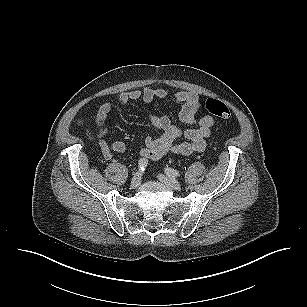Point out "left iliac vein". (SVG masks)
Segmentation results:
<instances>
[{
  "instance_id": "obj_1",
  "label": "left iliac vein",
  "mask_w": 307,
  "mask_h": 307,
  "mask_svg": "<svg viewBox=\"0 0 307 307\" xmlns=\"http://www.w3.org/2000/svg\"><path fill=\"white\" fill-rule=\"evenodd\" d=\"M158 179L172 190H181V184L175 179L168 178L163 174L158 175Z\"/></svg>"
}]
</instances>
